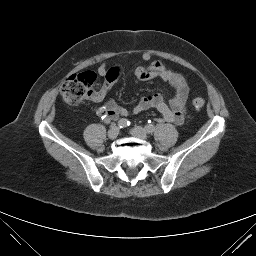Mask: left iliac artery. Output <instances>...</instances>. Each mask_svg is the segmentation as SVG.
I'll return each instance as SVG.
<instances>
[{"label": "left iliac artery", "mask_w": 256, "mask_h": 256, "mask_svg": "<svg viewBox=\"0 0 256 256\" xmlns=\"http://www.w3.org/2000/svg\"><path fill=\"white\" fill-rule=\"evenodd\" d=\"M145 130H146L147 133L152 134L154 132V130H155V127H154L153 124L152 125L147 124L145 126Z\"/></svg>", "instance_id": "44dca946"}]
</instances>
